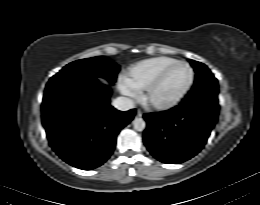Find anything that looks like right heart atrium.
<instances>
[{
	"instance_id": "right-heart-atrium-1",
	"label": "right heart atrium",
	"mask_w": 260,
	"mask_h": 205,
	"mask_svg": "<svg viewBox=\"0 0 260 205\" xmlns=\"http://www.w3.org/2000/svg\"><path fill=\"white\" fill-rule=\"evenodd\" d=\"M120 91L129 98H136L138 96V91L130 87L124 80L120 83Z\"/></svg>"
}]
</instances>
